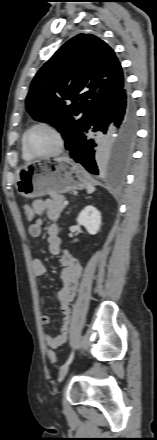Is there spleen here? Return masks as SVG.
I'll use <instances>...</instances> for the list:
<instances>
[{
	"instance_id": "obj_1",
	"label": "spleen",
	"mask_w": 157,
	"mask_h": 440,
	"mask_svg": "<svg viewBox=\"0 0 157 440\" xmlns=\"http://www.w3.org/2000/svg\"><path fill=\"white\" fill-rule=\"evenodd\" d=\"M95 191V187L93 186V184L91 182H88L87 184V193L91 194Z\"/></svg>"
}]
</instances>
